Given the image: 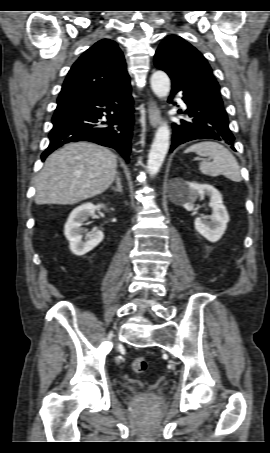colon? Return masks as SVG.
I'll use <instances>...</instances> for the list:
<instances>
[{
	"mask_svg": "<svg viewBox=\"0 0 270 453\" xmlns=\"http://www.w3.org/2000/svg\"><path fill=\"white\" fill-rule=\"evenodd\" d=\"M148 363L144 357H136L132 361V368L136 373H143L147 370Z\"/></svg>",
	"mask_w": 270,
	"mask_h": 453,
	"instance_id": "obj_1",
	"label": "colon"
}]
</instances>
